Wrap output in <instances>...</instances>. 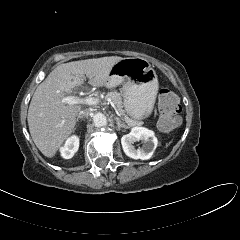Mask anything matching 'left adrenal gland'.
Returning <instances> with one entry per match:
<instances>
[{
  "label": "left adrenal gland",
  "instance_id": "left-adrenal-gland-1",
  "mask_svg": "<svg viewBox=\"0 0 240 240\" xmlns=\"http://www.w3.org/2000/svg\"><path fill=\"white\" fill-rule=\"evenodd\" d=\"M116 123L119 130H121V128H125V129L129 128V126H127L124 122H122L118 117H116Z\"/></svg>",
  "mask_w": 240,
  "mask_h": 240
}]
</instances>
